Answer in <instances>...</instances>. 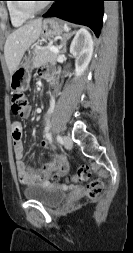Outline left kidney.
<instances>
[{"instance_id": "5707ae66", "label": "left kidney", "mask_w": 133, "mask_h": 253, "mask_svg": "<svg viewBox=\"0 0 133 253\" xmlns=\"http://www.w3.org/2000/svg\"><path fill=\"white\" fill-rule=\"evenodd\" d=\"M94 49V42L91 34L85 28L76 32L70 45V53L75 58V76H81L87 69Z\"/></svg>"}]
</instances>
